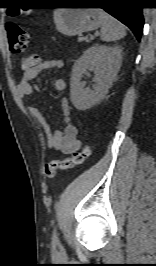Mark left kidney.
<instances>
[{
    "label": "left kidney",
    "instance_id": "5707ae66",
    "mask_svg": "<svg viewBox=\"0 0 156 266\" xmlns=\"http://www.w3.org/2000/svg\"><path fill=\"white\" fill-rule=\"evenodd\" d=\"M121 62L122 49L118 46L95 45L88 48L72 68L70 95L74 107L84 111L98 104L116 79ZM87 70L95 72L93 90L84 88L81 82Z\"/></svg>",
    "mask_w": 156,
    "mask_h": 266
}]
</instances>
